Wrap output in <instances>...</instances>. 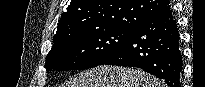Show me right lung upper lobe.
Listing matches in <instances>:
<instances>
[{
  "mask_svg": "<svg viewBox=\"0 0 205 87\" xmlns=\"http://www.w3.org/2000/svg\"><path fill=\"white\" fill-rule=\"evenodd\" d=\"M169 8L168 0H72L61 16L53 42L100 29L135 30Z\"/></svg>",
  "mask_w": 205,
  "mask_h": 87,
  "instance_id": "cb5924a9",
  "label": "right lung upper lobe"
}]
</instances>
